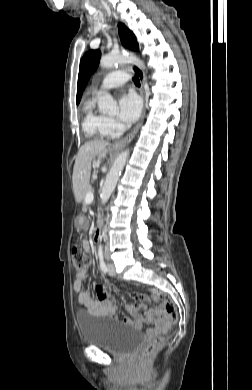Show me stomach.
<instances>
[{"label": "stomach", "mask_w": 252, "mask_h": 390, "mask_svg": "<svg viewBox=\"0 0 252 390\" xmlns=\"http://www.w3.org/2000/svg\"><path fill=\"white\" fill-rule=\"evenodd\" d=\"M77 222L79 226H83L85 224V218L83 216H79L77 218Z\"/></svg>", "instance_id": "obj_1"}]
</instances>
